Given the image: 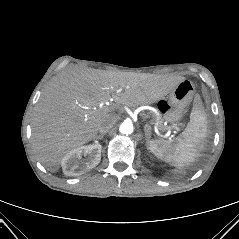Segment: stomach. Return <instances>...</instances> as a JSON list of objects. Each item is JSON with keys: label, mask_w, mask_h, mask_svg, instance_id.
<instances>
[{"label": "stomach", "mask_w": 239, "mask_h": 239, "mask_svg": "<svg viewBox=\"0 0 239 239\" xmlns=\"http://www.w3.org/2000/svg\"><path fill=\"white\" fill-rule=\"evenodd\" d=\"M194 84L190 80H182L168 94L167 98L157 101L163 118L171 123L181 120L185 108L190 103Z\"/></svg>", "instance_id": "1"}]
</instances>
